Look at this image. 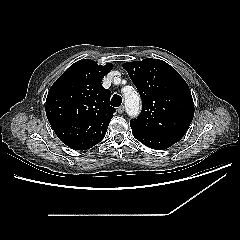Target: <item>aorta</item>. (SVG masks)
<instances>
[{
	"label": "aorta",
	"mask_w": 240,
	"mask_h": 240,
	"mask_svg": "<svg viewBox=\"0 0 240 240\" xmlns=\"http://www.w3.org/2000/svg\"><path fill=\"white\" fill-rule=\"evenodd\" d=\"M125 98V107L129 116L135 117L140 112V97L132 88L123 91Z\"/></svg>",
	"instance_id": "762f6f07"
}]
</instances>
